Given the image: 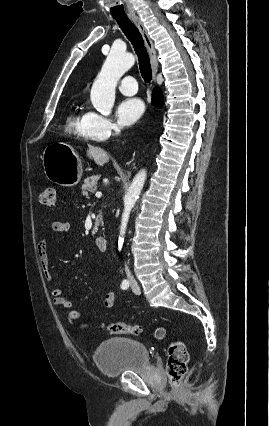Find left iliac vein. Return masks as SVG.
I'll use <instances>...</instances> for the list:
<instances>
[{
    "label": "left iliac vein",
    "instance_id": "obj_1",
    "mask_svg": "<svg viewBox=\"0 0 269 426\" xmlns=\"http://www.w3.org/2000/svg\"><path fill=\"white\" fill-rule=\"evenodd\" d=\"M131 288H132V290H133V292L135 293V294H140V287H139V285L137 284V282L136 281H134V280H132L131 281Z\"/></svg>",
    "mask_w": 269,
    "mask_h": 426
}]
</instances>
